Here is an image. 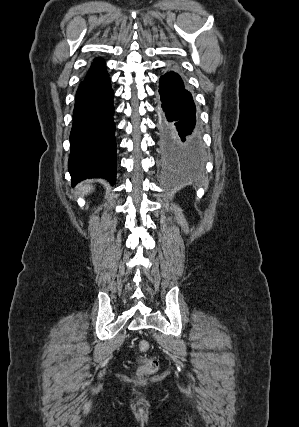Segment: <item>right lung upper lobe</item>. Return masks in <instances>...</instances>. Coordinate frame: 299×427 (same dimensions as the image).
Listing matches in <instances>:
<instances>
[{
    "label": "right lung upper lobe",
    "mask_w": 299,
    "mask_h": 427,
    "mask_svg": "<svg viewBox=\"0 0 299 427\" xmlns=\"http://www.w3.org/2000/svg\"><path fill=\"white\" fill-rule=\"evenodd\" d=\"M106 73L105 64L104 61L100 58H97L94 60V63L92 64L86 79L95 78L97 76H100L102 74Z\"/></svg>",
    "instance_id": "right-lung-upper-lobe-1"
}]
</instances>
